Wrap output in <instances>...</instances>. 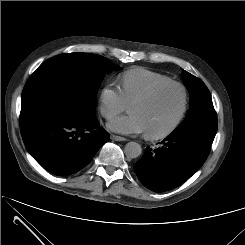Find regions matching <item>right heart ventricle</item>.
Masks as SVG:
<instances>
[{"mask_svg":"<svg viewBox=\"0 0 245 245\" xmlns=\"http://www.w3.org/2000/svg\"><path fill=\"white\" fill-rule=\"evenodd\" d=\"M172 81V79L162 73L144 69L134 68L125 71L120 77V91L126 103L140 96L152 86Z\"/></svg>","mask_w":245,"mask_h":245,"instance_id":"right-heart-ventricle-1","label":"right heart ventricle"}]
</instances>
